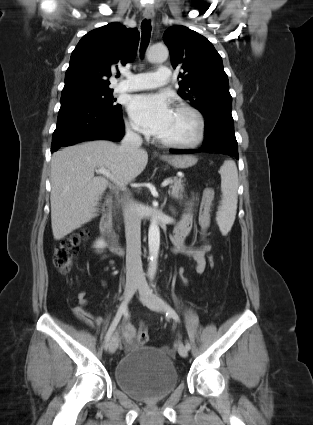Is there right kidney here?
I'll list each match as a JSON object with an SVG mask.
<instances>
[{"label":"right kidney","mask_w":313,"mask_h":425,"mask_svg":"<svg viewBox=\"0 0 313 425\" xmlns=\"http://www.w3.org/2000/svg\"><path fill=\"white\" fill-rule=\"evenodd\" d=\"M105 246H106V244L102 239L98 240L96 242V245H95V247L98 248V249H103Z\"/></svg>","instance_id":"ca27d5eb"}]
</instances>
